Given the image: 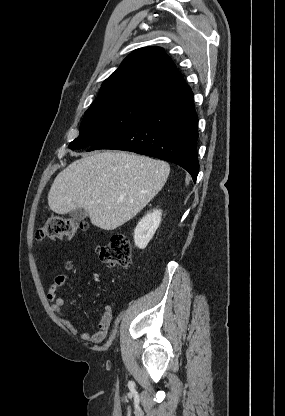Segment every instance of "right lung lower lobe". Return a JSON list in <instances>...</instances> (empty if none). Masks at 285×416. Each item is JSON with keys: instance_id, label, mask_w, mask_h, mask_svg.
<instances>
[{"instance_id": "98d812e1", "label": "right lung lower lobe", "mask_w": 285, "mask_h": 416, "mask_svg": "<svg viewBox=\"0 0 285 416\" xmlns=\"http://www.w3.org/2000/svg\"><path fill=\"white\" fill-rule=\"evenodd\" d=\"M198 117L193 98L161 108L125 129L93 144L88 151H131L175 163L196 181Z\"/></svg>"}]
</instances>
